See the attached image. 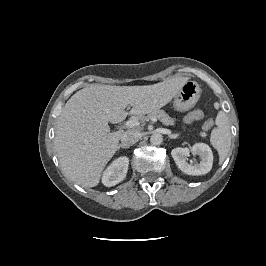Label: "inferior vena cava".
<instances>
[{"instance_id": "inferior-vena-cava-1", "label": "inferior vena cava", "mask_w": 266, "mask_h": 266, "mask_svg": "<svg viewBox=\"0 0 266 266\" xmlns=\"http://www.w3.org/2000/svg\"><path fill=\"white\" fill-rule=\"evenodd\" d=\"M140 138L141 134L138 131L131 130L124 132L120 137L122 145L127 147H130L135 144Z\"/></svg>"}]
</instances>
